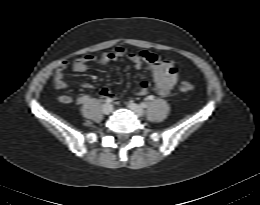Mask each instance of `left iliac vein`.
<instances>
[{"label": "left iliac vein", "mask_w": 260, "mask_h": 205, "mask_svg": "<svg viewBox=\"0 0 260 205\" xmlns=\"http://www.w3.org/2000/svg\"><path fill=\"white\" fill-rule=\"evenodd\" d=\"M128 107L137 117H141L143 115V110L138 104L130 102Z\"/></svg>", "instance_id": "obj_1"}]
</instances>
